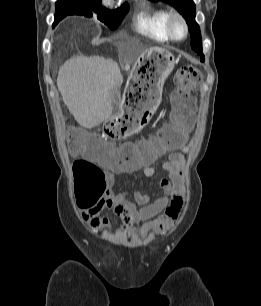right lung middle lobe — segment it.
Segmentation results:
<instances>
[{
	"label": "right lung middle lobe",
	"mask_w": 261,
	"mask_h": 306,
	"mask_svg": "<svg viewBox=\"0 0 261 306\" xmlns=\"http://www.w3.org/2000/svg\"><path fill=\"white\" fill-rule=\"evenodd\" d=\"M127 11V4H123L115 11H110L101 6V0H74L62 2L56 4L54 25L67 15H84L91 17L93 13H96L100 21L106 24L111 30H114L121 23Z\"/></svg>",
	"instance_id": "right-lung-middle-lobe-1"
}]
</instances>
